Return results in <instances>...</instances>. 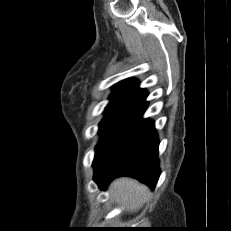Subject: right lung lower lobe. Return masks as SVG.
<instances>
[{
	"instance_id": "right-lung-lower-lobe-1",
	"label": "right lung lower lobe",
	"mask_w": 231,
	"mask_h": 231,
	"mask_svg": "<svg viewBox=\"0 0 231 231\" xmlns=\"http://www.w3.org/2000/svg\"><path fill=\"white\" fill-rule=\"evenodd\" d=\"M158 146L154 122L140 116L96 153L94 180L105 190L112 179L131 176L153 189L160 175Z\"/></svg>"
}]
</instances>
